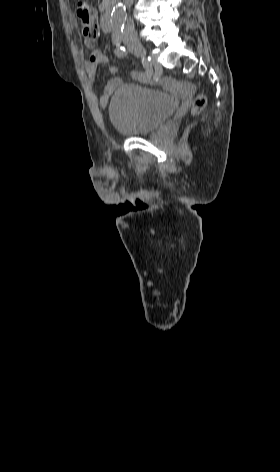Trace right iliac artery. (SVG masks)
<instances>
[{"label": "right iliac artery", "mask_w": 280, "mask_h": 472, "mask_svg": "<svg viewBox=\"0 0 280 472\" xmlns=\"http://www.w3.org/2000/svg\"><path fill=\"white\" fill-rule=\"evenodd\" d=\"M115 54L118 57H125L127 55V51L125 47L117 45L115 49ZM141 62H142L144 71L138 73V79L143 82H150L152 80V74H153V69H152V64L150 62V59L143 57Z\"/></svg>", "instance_id": "1"}]
</instances>
